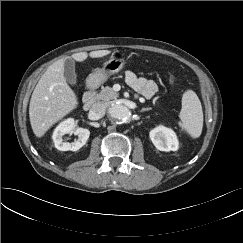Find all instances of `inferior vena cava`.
<instances>
[{"instance_id":"inferior-vena-cava-1","label":"inferior vena cava","mask_w":243,"mask_h":243,"mask_svg":"<svg viewBox=\"0 0 243 243\" xmlns=\"http://www.w3.org/2000/svg\"><path fill=\"white\" fill-rule=\"evenodd\" d=\"M106 106L103 103H95L90 109V115L94 119H100L105 115Z\"/></svg>"}]
</instances>
